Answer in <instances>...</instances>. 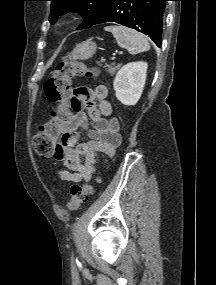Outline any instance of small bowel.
Returning <instances> with one entry per match:
<instances>
[{"label": "small bowel", "instance_id": "small-bowel-1", "mask_svg": "<svg viewBox=\"0 0 216 285\" xmlns=\"http://www.w3.org/2000/svg\"><path fill=\"white\" fill-rule=\"evenodd\" d=\"M107 98L105 86L79 87L74 91L72 110L54 154L64 165L58 172L62 180L88 182L95 171L96 154L113 156L120 145L118 122L111 118L112 106ZM78 128H88L89 140L77 142Z\"/></svg>", "mask_w": 216, "mask_h": 285}]
</instances>
